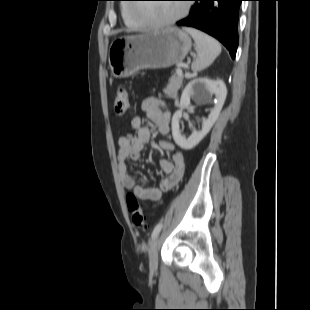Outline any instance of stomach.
<instances>
[{
	"instance_id": "obj_1",
	"label": "stomach",
	"mask_w": 310,
	"mask_h": 310,
	"mask_svg": "<svg viewBox=\"0 0 310 310\" xmlns=\"http://www.w3.org/2000/svg\"><path fill=\"white\" fill-rule=\"evenodd\" d=\"M192 47L190 36L175 27L145 35L115 39L108 52L113 77H128L142 69L168 68L181 62Z\"/></svg>"
}]
</instances>
